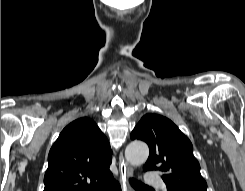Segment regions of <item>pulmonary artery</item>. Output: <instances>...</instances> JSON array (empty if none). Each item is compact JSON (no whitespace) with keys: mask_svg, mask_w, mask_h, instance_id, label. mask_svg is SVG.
<instances>
[{"mask_svg":"<svg viewBox=\"0 0 245 191\" xmlns=\"http://www.w3.org/2000/svg\"><path fill=\"white\" fill-rule=\"evenodd\" d=\"M144 180L145 183L149 186H155L160 188H163L165 186L162 179L158 176L157 173L154 172H146L144 174Z\"/></svg>","mask_w":245,"mask_h":191,"instance_id":"1","label":"pulmonary artery"}]
</instances>
